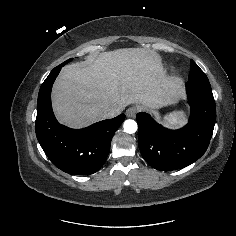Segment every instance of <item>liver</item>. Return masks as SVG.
Here are the masks:
<instances>
[{"label": "liver", "instance_id": "liver-1", "mask_svg": "<svg viewBox=\"0 0 236 236\" xmlns=\"http://www.w3.org/2000/svg\"><path fill=\"white\" fill-rule=\"evenodd\" d=\"M177 95L158 54L124 48L65 66L53 86L52 104L60 123L82 128L104 119L110 109L131 103L158 107Z\"/></svg>", "mask_w": 236, "mask_h": 236}]
</instances>
